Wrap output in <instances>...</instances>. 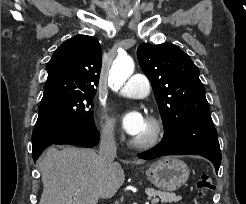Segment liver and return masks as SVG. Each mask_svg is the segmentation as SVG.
<instances>
[{
  "label": "liver",
  "instance_id": "1",
  "mask_svg": "<svg viewBox=\"0 0 246 204\" xmlns=\"http://www.w3.org/2000/svg\"><path fill=\"white\" fill-rule=\"evenodd\" d=\"M39 168L43 183L39 204H97L100 198L112 197L125 180L119 163L106 167L91 149L51 147Z\"/></svg>",
  "mask_w": 246,
  "mask_h": 204
}]
</instances>
